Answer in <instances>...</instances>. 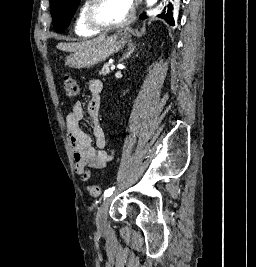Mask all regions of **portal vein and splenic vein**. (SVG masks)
<instances>
[{"instance_id":"portal-vein-and-splenic-vein-1","label":"portal vein and splenic vein","mask_w":256,"mask_h":267,"mask_svg":"<svg viewBox=\"0 0 256 267\" xmlns=\"http://www.w3.org/2000/svg\"><path fill=\"white\" fill-rule=\"evenodd\" d=\"M110 67H111V70H115V64L114 63H111Z\"/></svg>"}]
</instances>
